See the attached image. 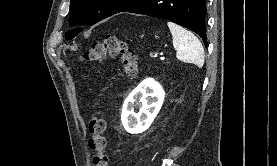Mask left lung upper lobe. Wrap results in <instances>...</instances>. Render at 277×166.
Here are the masks:
<instances>
[{"label": "left lung upper lobe", "mask_w": 277, "mask_h": 166, "mask_svg": "<svg viewBox=\"0 0 277 166\" xmlns=\"http://www.w3.org/2000/svg\"><path fill=\"white\" fill-rule=\"evenodd\" d=\"M135 0H71L70 24H87L89 26L118 13ZM81 28L66 32V38L75 37Z\"/></svg>", "instance_id": "left-lung-upper-lobe-1"}]
</instances>
